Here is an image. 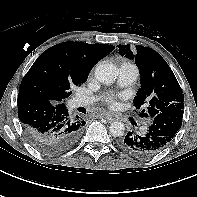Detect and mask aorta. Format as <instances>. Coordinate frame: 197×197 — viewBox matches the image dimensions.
<instances>
[{"label": "aorta", "mask_w": 197, "mask_h": 197, "mask_svg": "<svg viewBox=\"0 0 197 197\" xmlns=\"http://www.w3.org/2000/svg\"><path fill=\"white\" fill-rule=\"evenodd\" d=\"M95 78L104 84H111L117 78V69L114 64L103 62L95 69ZM110 134L114 137H121L125 133V125L120 121H114L109 127Z\"/></svg>", "instance_id": "1"}]
</instances>
